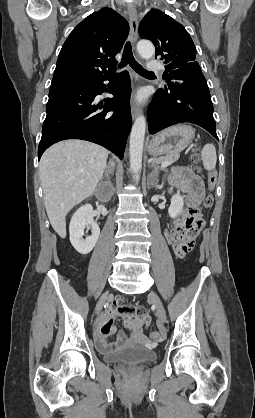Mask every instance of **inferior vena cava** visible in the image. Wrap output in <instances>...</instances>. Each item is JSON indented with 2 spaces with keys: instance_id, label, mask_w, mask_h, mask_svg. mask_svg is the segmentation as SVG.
<instances>
[{
  "instance_id": "obj_1",
  "label": "inferior vena cava",
  "mask_w": 255,
  "mask_h": 418,
  "mask_svg": "<svg viewBox=\"0 0 255 418\" xmlns=\"http://www.w3.org/2000/svg\"><path fill=\"white\" fill-rule=\"evenodd\" d=\"M111 166H112V167H114V164H113V163H111Z\"/></svg>"
}]
</instances>
